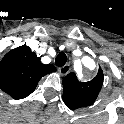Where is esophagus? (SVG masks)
<instances>
[{"label":"esophagus","instance_id":"esophagus-1","mask_svg":"<svg viewBox=\"0 0 124 124\" xmlns=\"http://www.w3.org/2000/svg\"><path fill=\"white\" fill-rule=\"evenodd\" d=\"M71 68L69 64H66L64 66H62L61 68H59V74L61 76H65L70 72Z\"/></svg>","mask_w":124,"mask_h":124}]
</instances>
